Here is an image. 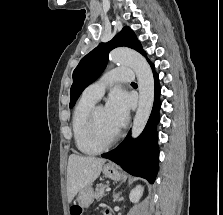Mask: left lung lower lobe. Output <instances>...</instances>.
Returning <instances> with one entry per match:
<instances>
[{
	"mask_svg": "<svg viewBox=\"0 0 223 215\" xmlns=\"http://www.w3.org/2000/svg\"><path fill=\"white\" fill-rule=\"evenodd\" d=\"M153 69L155 81V99L148 123L142 134L135 140L130 132L123 142L114 150L102 155L120 165L128 173L147 179L153 183L158 171L159 150L157 144L156 125L159 122V109L161 106L159 95V76Z\"/></svg>",
	"mask_w": 223,
	"mask_h": 215,
	"instance_id": "0a47b994",
	"label": "left lung lower lobe"
}]
</instances>
